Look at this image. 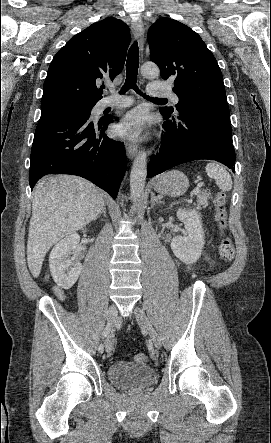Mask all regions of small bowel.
Segmentation results:
<instances>
[{"label": "small bowel", "mask_w": 271, "mask_h": 443, "mask_svg": "<svg viewBox=\"0 0 271 443\" xmlns=\"http://www.w3.org/2000/svg\"><path fill=\"white\" fill-rule=\"evenodd\" d=\"M54 293H55L60 299H63V292H62V290H61L60 288L55 287V288H54Z\"/></svg>", "instance_id": "1"}]
</instances>
